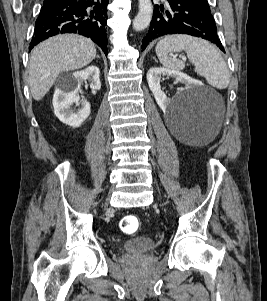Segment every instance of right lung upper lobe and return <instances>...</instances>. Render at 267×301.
Returning a JSON list of instances; mask_svg holds the SVG:
<instances>
[{"label":"right lung upper lobe","instance_id":"right-lung-upper-lobe-1","mask_svg":"<svg viewBox=\"0 0 267 301\" xmlns=\"http://www.w3.org/2000/svg\"><path fill=\"white\" fill-rule=\"evenodd\" d=\"M54 1H56V0H44V4H49V3H52Z\"/></svg>","mask_w":267,"mask_h":301}]
</instances>
